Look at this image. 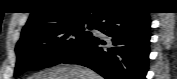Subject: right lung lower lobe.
Listing matches in <instances>:
<instances>
[{
  "label": "right lung lower lobe",
  "mask_w": 177,
  "mask_h": 79,
  "mask_svg": "<svg viewBox=\"0 0 177 79\" xmlns=\"http://www.w3.org/2000/svg\"><path fill=\"white\" fill-rule=\"evenodd\" d=\"M149 12L131 6H112L102 10L91 29L103 37H89L61 63L89 67L106 79H145L148 71Z\"/></svg>",
  "instance_id": "right-lung-lower-lobe-1"
}]
</instances>
